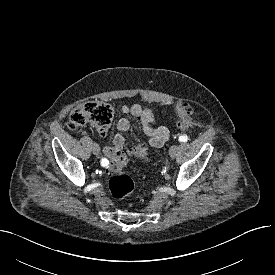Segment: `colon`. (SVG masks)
<instances>
[{"label":"colon","mask_w":275,"mask_h":275,"mask_svg":"<svg viewBox=\"0 0 275 275\" xmlns=\"http://www.w3.org/2000/svg\"><path fill=\"white\" fill-rule=\"evenodd\" d=\"M176 126L180 130L187 129L193 118V109L190 105L183 103L176 108ZM113 107L103 101L91 100L76 106L69 115L68 128L76 131L85 124H93L100 132H106L113 120ZM137 158H147L148 151L144 146H137L133 150ZM126 158L118 157L111 161L108 172L110 174L109 190L114 200H121L129 196L134 191L132 178L124 173Z\"/></svg>","instance_id":"colon-1"}]
</instances>
